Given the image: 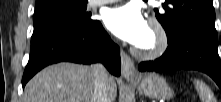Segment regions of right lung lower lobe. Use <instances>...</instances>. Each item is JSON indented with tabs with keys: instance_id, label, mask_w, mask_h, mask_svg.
<instances>
[{
	"instance_id": "obj_1",
	"label": "right lung lower lobe",
	"mask_w": 221,
	"mask_h": 102,
	"mask_svg": "<svg viewBox=\"0 0 221 102\" xmlns=\"http://www.w3.org/2000/svg\"><path fill=\"white\" fill-rule=\"evenodd\" d=\"M62 61L82 64L102 62L111 74L119 76L121 73L119 47L101 23L95 20L84 28L55 32L31 47L22 86L42 68Z\"/></svg>"
}]
</instances>
